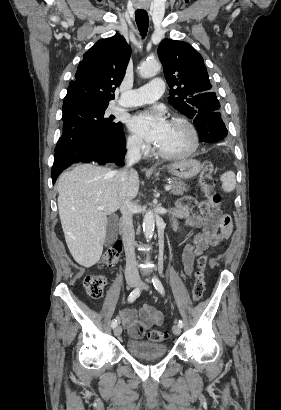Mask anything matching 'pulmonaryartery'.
I'll list each match as a JSON object with an SVG mask.
<instances>
[{"label": "pulmonary artery", "mask_w": 281, "mask_h": 410, "mask_svg": "<svg viewBox=\"0 0 281 410\" xmlns=\"http://www.w3.org/2000/svg\"><path fill=\"white\" fill-rule=\"evenodd\" d=\"M164 82L155 78L148 84L121 94L118 101L120 106L134 107L158 100L164 92Z\"/></svg>", "instance_id": "pulmonary-artery-1"}]
</instances>
